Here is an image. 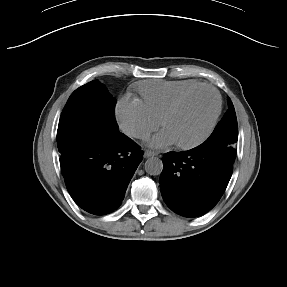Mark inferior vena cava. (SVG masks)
I'll list each match as a JSON object with an SVG mask.
<instances>
[{
  "instance_id": "1",
  "label": "inferior vena cava",
  "mask_w": 287,
  "mask_h": 287,
  "mask_svg": "<svg viewBox=\"0 0 287 287\" xmlns=\"http://www.w3.org/2000/svg\"><path fill=\"white\" fill-rule=\"evenodd\" d=\"M126 133L127 135L131 137H135V138L147 137V134L143 130H141L140 128H136V127L128 128Z\"/></svg>"
}]
</instances>
